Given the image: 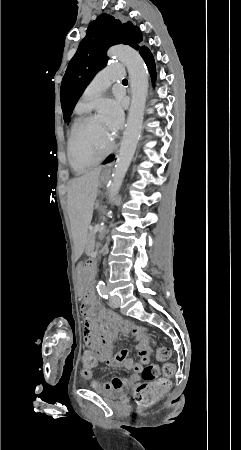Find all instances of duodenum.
Wrapping results in <instances>:
<instances>
[{
	"instance_id": "obj_1",
	"label": "duodenum",
	"mask_w": 241,
	"mask_h": 450,
	"mask_svg": "<svg viewBox=\"0 0 241 450\" xmlns=\"http://www.w3.org/2000/svg\"><path fill=\"white\" fill-rule=\"evenodd\" d=\"M85 267L87 271V289L89 292H92L95 286V261L93 259H89L86 262Z\"/></svg>"
}]
</instances>
